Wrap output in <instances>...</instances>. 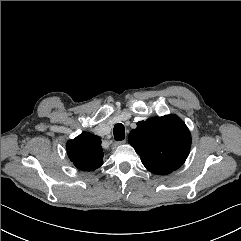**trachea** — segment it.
Instances as JSON below:
<instances>
[{
	"mask_svg": "<svg viewBox=\"0 0 241 241\" xmlns=\"http://www.w3.org/2000/svg\"><path fill=\"white\" fill-rule=\"evenodd\" d=\"M113 134L115 137V140L121 141L125 138V128L124 125L121 123H118L114 126Z\"/></svg>",
	"mask_w": 241,
	"mask_h": 241,
	"instance_id": "obj_1",
	"label": "trachea"
}]
</instances>
